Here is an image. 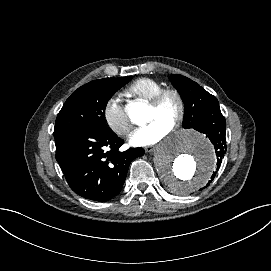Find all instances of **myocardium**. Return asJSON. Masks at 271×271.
Segmentation results:
<instances>
[{
	"mask_svg": "<svg viewBox=\"0 0 271 271\" xmlns=\"http://www.w3.org/2000/svg\"><path fill=\"white\" fill-rule=\"evenodd\" d=\"M173 95L179 103V112L174 117L171 128L178 127L186 118L187 115V101L182 91L175 86L163 87L150 101V106L157 111H161L165 102V99Z\"/></svg>",
	"mask_w": 271,
	"mask_h": 271,
	"instance_id": "myocardium-1",
	"label": "myocardium"
}]
</instances>
